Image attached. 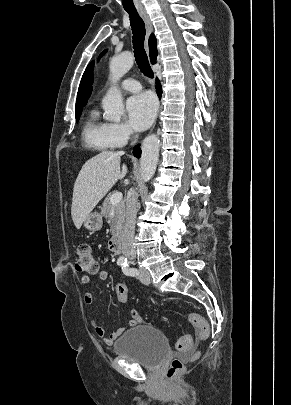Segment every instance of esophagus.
Instances as JSON below:
<instances>
[{"label":"esophagus","mask_w":291,"mask_h":405,"mask_svg":"<svg viewBox=\"0 0 291 405\" xmlns=\"http://www.w3.org/2000/svg\"><path fill=\"white\" fill-rule=\"evenodd\" d=\"M140 16L142 17L144 23H145V27H146V42H145V48L146 50H148V37L149 35L152 33L153 31V27H152V23L151 20L148 16V14L145 11H139Z\"/></svg>","instance_id":"34e87169"}]
</instances>
